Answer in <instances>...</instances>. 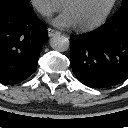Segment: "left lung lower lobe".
I'll return each instance as SVG.
<instances>
[{
    "label": "left lung lower lobe",
    "instance_id": "left-lung-lower-lobe-1",
    "mask_svg": "<svg viewBox=\"0 0 128 128\" xmlns=\"http://www.w3.org/2000/svg\"><path fill=\"white\" fill-rule=\"evenodd\" d=\"M70 63L86 86L101 88L128 78V13L112 17L86 35L70 39Z\"/></svg>",
    "mask_w": 128,
    "mask_h": 128
}]
</instances>
